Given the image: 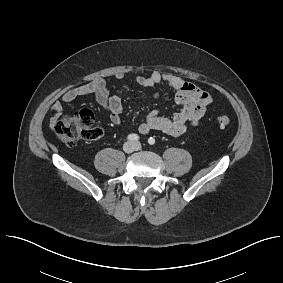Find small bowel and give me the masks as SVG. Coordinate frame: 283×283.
Returning <instances> with one entry per match:
<instances>
[{"label": "small bowel", "instance_id": "1", "mask_svg": "<svg viewBox=\"0 0 283 283\" xmlns=\"http://www.w3.org/2000/svg\"><path fill=\"white\" fill-rule=\"evenodd\" d=\"M123 78V74L117 75V79L122 80ZM137 84L143 88H153L157 85L170 87L175 91L176 103L180 106L179 111L172 117L162 116L157 110L150 111L138 127L141 134L158 130L171 136L182 135L188 126L199 125L207 107L212 103V96L209 92L174 74L153 71L148 76H138ZM80 96H92L96 102L109 111L111 123L115 125L121 123L123 109L121 97L112 92L101 79L71 89L64 94L61 101H55L50 108L53 113L51 123L55 124L62 116L64 104H69ZM159 96V92L154 93L155 98Z\"/></svg>", "mask_w": 283, "mask_h": 283}]
</instances>
